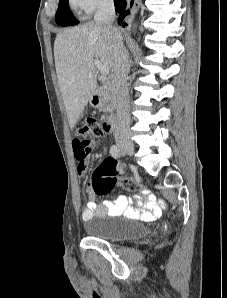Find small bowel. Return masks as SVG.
<instances>
[{
	"instance_id": "c3829d8e",
	"label": "small bowel",
	"mask_w": 227,
	"mask_h": 298,
	"mask_svg": "<svg viewBox=\"0 0 227 298\" xmlns=\"http://www.w3.org/2000/svg\"><path fill=\"white\" fill-rule=\"evenodd\" d=\"M72 144L73 157L77 159V172L84 177L88 169V159L90 151H93L94 142H81V139H70ZM84 158V159H78ZM91 199L86 206L80 210V217L87 221L94 216H121L131 219H141L151 221L161 215V208L156 202L155 195L149 190L141 189L134 194L133 198L126 195H119L115 200H104L97 203L90 191ZM133 200L137 207L133 205Z\"/></svg>"
}]
</instances>
